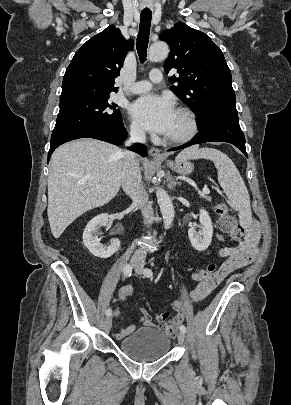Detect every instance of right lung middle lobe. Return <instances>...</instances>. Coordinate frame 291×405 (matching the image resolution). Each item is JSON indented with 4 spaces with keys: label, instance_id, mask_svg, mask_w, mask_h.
<instances>
[{
    "label": "right lung middle lobe",
    "instance_id": "obj_1",
    "mask_svg": "<svg viewBox=\"0 0 291 405\" xmlns=\"http://www.w3.org/2000/svg\"><path fill=\"white\" fill-rule=\"evenodd\" d=\"M110 96L75 98L60 101V111L51 140L86 128H111L121 124L120 110L109 103Z\"/></svg>",
    "mask_w": 291,
    "mask_h": 405
}]
</instances>
